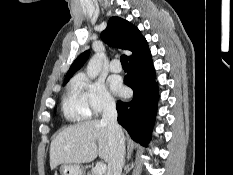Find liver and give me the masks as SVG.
Here are the masks:
<instances>
[{
  "instance_id": "6515ba94",
  "label": "liver",
  "mask_w": 233,
  "mask_h": 175,
  "mask_svg": "<svg viewBox=\"0 0 233 175\" xmlns=\"http://www.w3.org/2000/svg\"><path fill=\"white\" fill-rule=\"evenodd\" d=\"M109 162L111 139L108 126L99 120L81 122L61 131L50 145V168L60 164H81L97 156Z\"/></svg>"
}]
</instances>
